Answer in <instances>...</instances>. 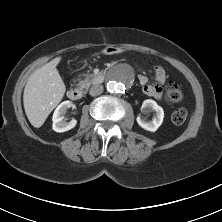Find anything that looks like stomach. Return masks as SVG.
Returning <instances> with one entry per match:
<instances>
[{"mask_svg":"<svg viewBox=\"0 0 222 222\" xmlns=\"http://www.w3.org/2000/svg\"><path fill=\"white\" fill-rule=\"evenodd\" d=\"M121 50L120 48L114 47V46H107L104 50L103 53L107 55H112L119 53Z\"/></svg>","mask_w":222,"mask_h":222,"instance_id":"stomach-1","label":"stomach"}]
</instances>
